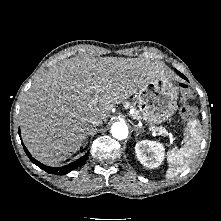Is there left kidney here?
<instances>
[{
    "mask_svg": "<svg viewBox=\"0 0 221 221\" xmlns=\"http://www.w3.org/2000/svg\"><path fill=\"white\" fill-rule=\"evenodd\" d=\"M164 147L161 143L142 140L135 145L137 159L145 167L154 169L161 165L164 159Z\"/></svg>",
    "mask_w": 221,
    "mask_h": 221,
    "instance_id": "obj_1",
    "label": "left kidney"
}]
</instances>
